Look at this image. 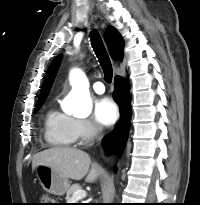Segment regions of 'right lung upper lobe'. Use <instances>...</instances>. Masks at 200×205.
<instances>
[{"mask_svg":"<svg viewBox=\"0 0 200 205\" xmlns=\"http://www.w3.org/2000/svg\"><path fill=\"white\" fill-rule=\"evenodd\" d=\"M105 39L109 45V51L114 60H121L123 57V46L124 42L120 34L113 27H109L106 31ZM61 56H57L49 66V69L46 73L41 92L39 95V99H44L47 97L54 78L56 76L59 64H60Z\"/></svg>","mask_w":200,"mask_h":205,"instance_id":"right-lung-upper-lobe-1","label":"right lung upper lobe"}]
</instances>
